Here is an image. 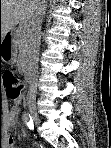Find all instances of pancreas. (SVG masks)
I'll return each mask as SVG.
<instances>
[{"label":"pancreas","instance_id":"pancreas-1","mask_svg":"<svg viewBox=\"0 0 111 148\" xmlns=\"http://www.w3.org/2000/svg\"><path fill=\"white\" fill-rule=\"evenodd\" d=\"M17 44L19 49V66L25 68L27 65L26 57L29 47V29L27 25H20L16 31Z\"/></svg>","mask_w":111,"mask_h":148}]
</instances>
